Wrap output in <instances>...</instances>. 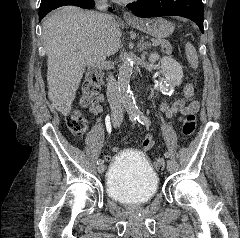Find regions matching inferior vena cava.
<instances>
[{"label":"inferior vena cava","instance_id":"obj_1","mask_svg":"<svg viewBox=\"0 0 240 238\" xmlns=\"http://www.w3.org/2000/svg\"><path fill=\"white\" fill-rule=\"evenodd\" d=\"M96 8L100 12L93 14V17L102 24H107L112 21L113 17L106 14L108 3L107 0H95ZM107 98L111 107L112 116L117 121L123 120L124 105L119 93L118 83L114 76L110 74L107 83Z\"/></svg>","mask_w":240,"mask_h":238}]
</instances>
